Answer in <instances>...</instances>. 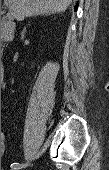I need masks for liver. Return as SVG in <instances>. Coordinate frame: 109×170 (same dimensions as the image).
<instances>
[{
  "instance_id": "liver-1",
  "label": "liver",
  "mask_w": 109,
  "mask_h": 170,
  "mask_svg": "<svg viewBox=\"0 0 109 170\" xmlns=\"http://www.w3.org/2000/svg\"><path fill=\"white\" fill-rule=\"evenodd\" d=\"M17 21L45 13L64 12L72 0H6Z\"/></svg>"
}]
</instances>
